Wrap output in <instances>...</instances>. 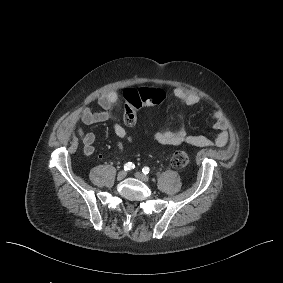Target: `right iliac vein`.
I'll list each match as a JSON object with an SVG mask.
<instances>
[{
    "mask_svg": "<svg viewBox=\"0 0 283 283\" xmlns=\"http://www.w3.org/2000/svg\"><path fill=\"white\" fill-rule=\"evenodd\" d=\"M126 175H127L126 171H125V170H122V171H120V172L118 173L117 179H118V180H123V179L126 177Z\"/></svg>",
    "mask_w": 283,
    "mask_h": 283,
    "instance_id": "obj_1",
    "label": "right iliac vein"
}]
</instances>
